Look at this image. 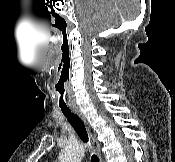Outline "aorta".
Instances as JSON below:
<instances>
[{
    "label": "aorta",
    "instance_id": "762f6f07",
    "mask_svg": "<svg viewBox=\"0 0 175 162\" xmlns=\"http://www.w3.org/2000/svg\"><path fill=\"white\" fill-rule=\"evenodd\" d=\"M85 147L79 142H70L61 151L59 162H81Z\"/></svg>",
    "mask_w": 175,
    "mask_h": 162
}]
</instances>
